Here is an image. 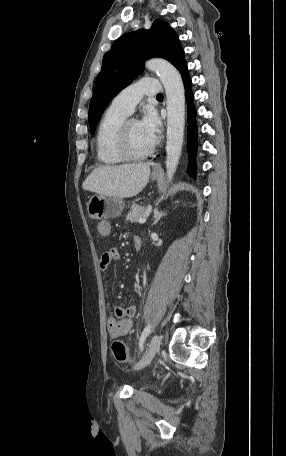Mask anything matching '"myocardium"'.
Returning <instances> with one entry per match:
<instances>
[{
	"label": "myocardium",
	"mask_w": 286,
	"mask_h": 456,
	"mask_svg": "<svg viewBox=\"0 0 286 456\" xmlns=\"http://www.w3.org/2000/svg\"><path fill=\"white\" fill-rule=\"evenodd\" d=\"M134 119H125L118 130L117 134V150L124 160L139 161L149 157L156 148V142H153L151 147L144 153L134 154L129 147V123Z\"/></svg>",
	"instance_id": "myocardium-1"
}]
</instances>
